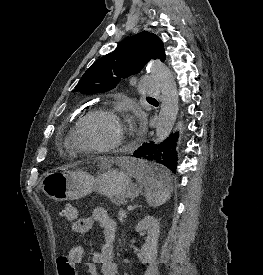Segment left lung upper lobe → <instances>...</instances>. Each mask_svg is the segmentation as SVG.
<instances>
[{
	"mask_svg": "<svg viewBox=\"0 0 263 275\" xmlns=\"http://www.w3.org/2000/svg\"><path fill=\"white\" fill-rule=\"evenodd\" d=\"M165 58L164 45L158 36L147 31L138 33L88 68L73 92H107L115 88L122 78L139 73L151 59L164 61Z\"/></svg>",
	"mask_w": 263,
	"mask_h": 275,
	"instance_id": "5c2ea615",
	"label": "left lung upper lobe"
}]
</instances>
